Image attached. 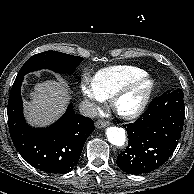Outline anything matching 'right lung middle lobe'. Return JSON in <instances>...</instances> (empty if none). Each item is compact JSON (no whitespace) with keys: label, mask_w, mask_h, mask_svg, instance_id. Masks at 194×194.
<instances>
[{"label":"right lung middle lobe","mask_w":194,"mask_h":194,"mask_svg":"<svg viewBox=\"0 0 194 194\" xmlns=\"http://www.w3.org/2000/svg\"><path fill=\"white\" fill-rule=\"evenodd\" d=\"M82 60V57L68 55L62 52L45 51L30 57L22 66L17 76H24L27 73L44 68L57 73H70Z\"/></svg>","instance_id":"dd1d6c3e"}]
</instances>
